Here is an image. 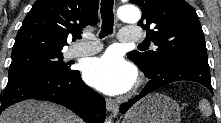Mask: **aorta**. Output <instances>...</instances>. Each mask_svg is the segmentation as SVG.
I'll list each match as a JSON object with an SVG mask.
<instances>
[{
	"mask_svg": "<svg viewBox=\"0 0 221 123\" xmlns=\"http://www.w3.org/2000/svg\"><path fill=\"white\" fill-rule=\"evenodd\" d=\"M117 15L121 21L126 23H137L141 18L139 9L133 5H124L120 7Z\"/></svg>",
	"mask_w": 221,
	"mask_h": 123,
	"instance_id": "762f6f07",
	"label": "aorta"
}]
</instances>
